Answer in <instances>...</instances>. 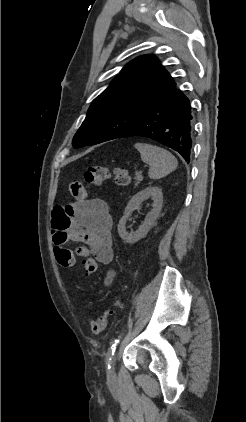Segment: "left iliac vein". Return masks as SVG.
<instances>
[{"label": "left iliac vein", "instance_id": "1", "mask_svg": "<svg viewBox=\"0 0 246 422\" xmlns=\"http://www.w3.org/2000/svg\"><path fill=\"white\" fill-rule=\"evenodd\" d=\"M115 364H116V356H114L113 359H111V361L109 362V369L107 371V376H108L109 381L114 380L116 377Z\"/></svg>", "mask_w": 246, "mask_h": 422}]
</instances>
